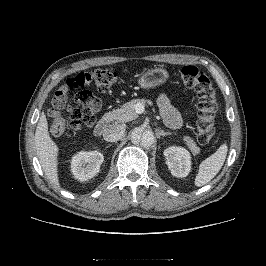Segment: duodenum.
Wrapping results in <instances>:
<instances>
[{"instance_id": "410a0bca", "label": "duodenum", "mask_w": 266, "mask_h": 266, "mask_svg": "<svg viewBox=\"0 0 266 266\" xmlns=\"http://www.w3.org/2000/svg\"><path fill=\"white\" fill-rule=\"evenodd\" d=\"M109 120L108 119H104L101 120L100 122H98L95 127H94V134L95 136H102L104 135L107 126H108Z\"/></svg>"}]
</instances>
